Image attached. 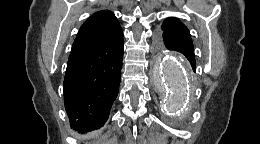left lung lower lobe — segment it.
Listing matches in <instances>:
<instances>
[{
  "instance_id": "obj_1",
  "label": "left lung lower lobe",
  "mask_w": 260,
  "mask_h": 144,
  "mask_svg": "<svg viewBox=\"0 0 260 144\" xmlns=\"http://www.w3.org/2000/svg\"><path fill=\"white\" fill-rule=\"evenodd\" d=\"M158 40L164 43L169 50H175L182 53L189 60L192 69H196L194 47L191 37L176 35L171 33L159 34Z\"/></svg>"
}]
</instances>
